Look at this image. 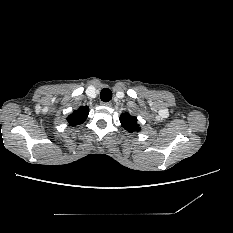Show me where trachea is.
<instances>
[{"label": "trachea", "instance_id": "1", "mask_svg": "<svg viewBox=\"0 0 233 233\" xmlns=\"http://www.w3.org/2000/svg\"><path fill=\"white\" fill-rule=\"evenodd\" d=\"M100 98L103 102H108L112 99V92L108 88L102 89L100 93Z\"/></svg>", "mask_w": 233, "mask_h": 233}]
</instances>
